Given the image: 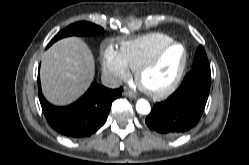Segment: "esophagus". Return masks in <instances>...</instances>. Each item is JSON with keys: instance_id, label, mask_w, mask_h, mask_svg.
<instances>
[{"instance_id": "1", "label": "esophagus", "mask_w": 249, "mask_h": 165, "mask_svg": "<svg viewBox=\"0 0 249 165\" xmlns=\"http://www.w3.org/2000/svg\"><path fill=\"white\" fill-rule=\"evenodd\" d=\"M123 94L131 99H136V95L131 90L125 89Z\"/></svg>"}]
</instances>
